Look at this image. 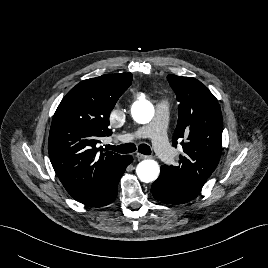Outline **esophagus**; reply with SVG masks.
<instances>
[{"instance_id": "34e87169", "label": "esophagus", "mask_w": 268, "mask_h": 268, "mask_svg": "<svg viewBox=\"0 0 268 268\" xmlns=\"http://www.w3.org/2000/svg\"><path fill=\"white\" fill-rule=\"evenodd\" d=\"M136 157L138 158V160H142V159H147V158H149V156L144 155V154H140V153H138V154L136 155Z\"/></svg>"}]
</instances>
